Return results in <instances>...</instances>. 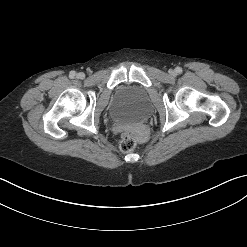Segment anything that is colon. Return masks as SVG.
<instances>
[{"instance_id":"colon-1","label":"colon","mask_w":247,"mask_h":247,"mask_svg":"<svg viewBox=\"0 0 247 247\" xmlns=\"http://www.w3.org/2000/svg\"><path fill=\"white\" fill-rule=\"evenodd\" d=\"M137 141L135 136L130 132L123 133L121 140L119 142V149L124 153H128L134 150Z\"/></svg>"}]
</instances>
